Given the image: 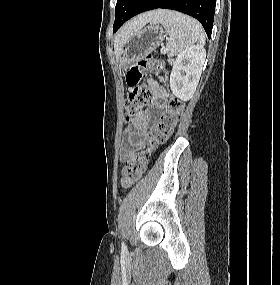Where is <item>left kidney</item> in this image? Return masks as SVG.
Wrapping results in <instances>:
<instances>
[{"label":"left kidney","mask_w":280,"mask_h":285,"mask_svg":"<svg viewBox=\"0 0 280 285\" xmlns=\"http://www.w3.org/2000/svg\"><path fill=\"white\" fill-rule=\"evenodd\" d=\"M205 58L206 50L201 45L192 46L177 56L170 75V88L173 95L183 101L192 98L202 73Z\"/></svg>","instance_id":"5707ae66"}]
</instances>
